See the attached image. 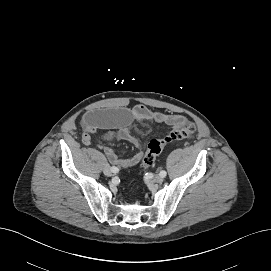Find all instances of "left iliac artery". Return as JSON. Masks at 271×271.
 <instances>
[{"mask_svg": "<svg viewBox=\"0 0 271 271\" xmlns=\"http://www.w3.org/2000/svg\"><path fill=\"white\" fill-rule=\"evenodd\" d=\"M166 171L165 170H162L161 172H160V175L162 176V177H165L166 176Z\"/></svg>", "mask_w": 271, "mask_h": 271, "instance_id": "left-iliac-artery-1", "label": "left iliac artery"}]
</instances>
